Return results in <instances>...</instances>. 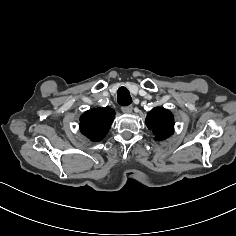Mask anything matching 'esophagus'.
Wrapping results in <instances>:
<instances>
[{
    "mask_svg": "<svg viewBox=\"0 0 236 236\" xmlns=\"http://www.w3.org/2000/svg\"><path fill=\"white\" fill-rule=\"evenodd\" d=\"M132 110H133V107L132 106H124V107H122V112L123 113H131L132 112Z\"/></svg>",
    "mask_w": 236,
    "mask_h": 236,
    "instance_id": "34e87169",
    "label": "esophagus"
}]
</instances>
